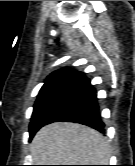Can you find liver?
Returning a JSON list of instances; mask_svg holds the SVG:
<instances>
[{
	"label": "liver",
	"instance_id": "6515ba94",
	"mask_svg": "<svg viewBox=\"0 0 135 166\" xmlns=\"http://www.w3.org/2000/svg\"><path fill=\"white\" fill-rule=\"evenodd\" d=\"M30 152L36 165H107L111 151L98 131L77 123H52L34 136Z\"/></svg>",
	"mask_w": 135,
	"mask_h": 166
}]
</instances>
